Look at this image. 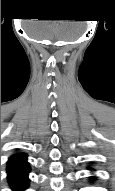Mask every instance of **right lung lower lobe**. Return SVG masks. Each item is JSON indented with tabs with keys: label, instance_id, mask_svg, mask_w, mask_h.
I'll return each mask as SVG.
<instances>
[{
	"label": "right lung lower lobe",
	"instance_id": "obj_1",
	"mask_svg": "<svg viewBox=\"0 0 115 191\" xmlns=\"http://www.w3.org/2000/svg\"><path fill=\"white\" fill-rule=\"evenodd\" d=\"M28 170L8 172V184L13 191H24L29 185Z\"/></svg>",
	"mask_w": 115,
	"mask_h": 191
}]
</instances>
